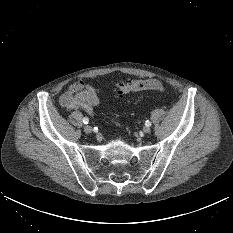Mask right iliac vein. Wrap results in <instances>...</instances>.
Returning <instances> with one entry per match:
<instances>
[{
	"instance_id": "1",
	"label": "right iliac vein",
	"mask_w": 233,
	"mask_h": 233,
	"mask_svg": "<svg viewBox=\"0 0 233 233\" xmlns=\"http://www.w3.org/2000/svg\"><path fill=\"white\" fill-rule=\"evenodd\" d=\"M84 131L89 134L92 132V127L90 125H85L84 126Z\"/></svg>"
}]
</instances>
